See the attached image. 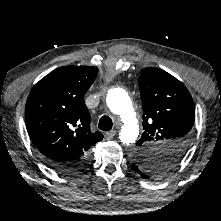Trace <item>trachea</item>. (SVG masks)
I'll use <instances>...</instances> for the list:
<instances>
[{
  "label": "trachea",
  "instance_id": "trachea-1",
  "mask_svg": "<svg viewBox=\"0 0 221 221\" xmlns=\"http://www.w3.org/2000/svg\"><path fill=\"white\" fill-rule=\"evenodd\" d=\"M113 122L109 116H102L99 120L98 128L103 131H109L112 129Z\"/></svg>",
  "mask_w": 221,
  "mask_h": 221
}]
</instances>
